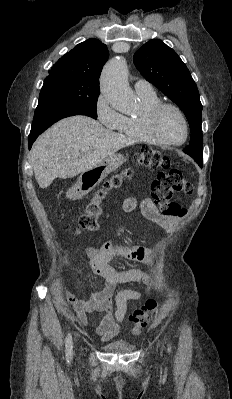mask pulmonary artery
<instances>
[{
	"instance_id": "e3ab8cb5",
	"label": "pulmonary artery",
	"mask_w": 232,
	"mask_h": 399,
	"mask_svg": "<svg viewBox=\"0 0 232 399\" xmlns=\"http://www.w3.org/2000/svg\"><path fill=\"white\" fill-rule=\"evenodd\" d=\"M136 88L138 89V96H153L154 84L148 81H136Z\"/></svg>"
}]
</instances>
